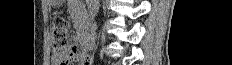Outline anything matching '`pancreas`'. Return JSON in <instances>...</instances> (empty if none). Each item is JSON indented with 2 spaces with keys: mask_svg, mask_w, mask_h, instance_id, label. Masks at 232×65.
<instances>
[{
  "mask_svg": "<svg viewBox=\"0 0 232 65\" xmlns=\"http://www.w3.org/2000/svg\"><path fill=\"white\" fill-rule=\"evenodd\" d=\"M81 25H82L81 22H79V23L76 24L77 27H79V26H81Z\"/></svg>",
  "mask_w": 232,
  "mask_h": 65,
  "instance_id": "1",
  "label": "pancreas"
}]
</instances>
